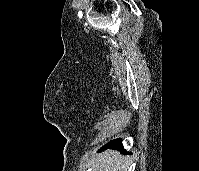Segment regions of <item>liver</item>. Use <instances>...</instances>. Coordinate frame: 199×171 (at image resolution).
Here are the masks:
<instances>
[{"mask_svg":"<svg viewBox=\"0 0 199 171\" xmlns=\"http://www.w3.org/2000/svg\"><path fill=\"white\" fill-rule=\"evenodd\" d=\"M94 171H127L129 162L126 157L116 151H106L91 163Z\"/></svg>","mask_w":199,"mask_h":171,"instance_id":"obj_1","label":"liver"}]
</instances>
